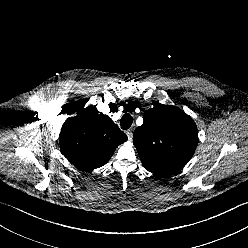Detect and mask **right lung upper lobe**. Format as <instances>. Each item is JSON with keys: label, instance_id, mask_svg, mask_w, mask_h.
I'll return each instance as SVG.
<instances>
[{"label": "right lung upper lobe", "instance_id": "cb5924a9", "mask_svg": "<svg viewBox=\"0 0 248 248\" xmlns=\"http://www.w3.org/2000/svg\"><path fill=\"white\" fill-rule=\"evenodd\" d=\"M127 136L94 106L81 110L62 126L59 143L64 156L77 168L93 170L106 164Z\"/></svg>", "mask_w": 248, "mask_h": 248}]
</instances>
